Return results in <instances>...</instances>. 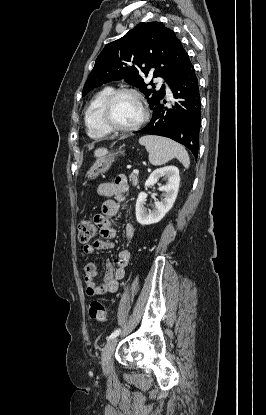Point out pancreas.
I'll list each match as a JSON object with an SVG mask.
<instances>
[{
  "instance_id": "cf45deb5",
  "label": "pancreas",
  "mask_w": 266,
  "mask_h": 415,
  "mask_svg": "<svg viewBox=\"0 0 266 415\" xmlns=\"http://www.w3.org/2000/svg\"><path fill=\"white\" fill-rule=\"evenodd\" d=\"M130 181L132 182V185H137L138 183V174H131L129 176Z\"/></svg>"
}]
</instances>
